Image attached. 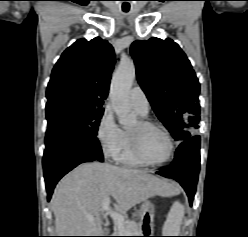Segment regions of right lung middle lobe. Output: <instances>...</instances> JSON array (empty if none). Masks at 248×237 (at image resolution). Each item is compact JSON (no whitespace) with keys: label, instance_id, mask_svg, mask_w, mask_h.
Returning a JSON list of instances; mask_svg holds the SVG:
<instances>
[{"label":"right lung middle lobe","instance_id":"right-lung-middle-lobe-1","mask_svg":"<svg viewBox=\"0 0 248 237\" xmlns=\"http://www.w3.org/2000/svg\"><path fill=\"white\" fill-rule=\"evenodd\" d=\"M103 103L75 98H59L46 104L47 131L97 136Z\"/></svg>","mask_w":248,"mask_h":237}]
</instances>
